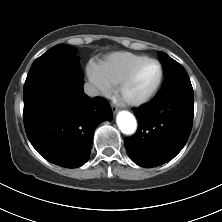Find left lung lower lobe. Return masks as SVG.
<instances>
[{
  "label": "left lung lower lobe",
  "mask_w": 222,
  "mask_h": 222,
  "mask_svg": "<svg viewBox=\"0 0 222 222\" xmlns=\"http://www.w3.org/2000/svg\"><path fill=\"white\" fill-rule=\"evenodd\" d=\"M133 112L139 128L124 140L131 160L145 168L162 165L173 159L189 138L194 113L192 85L162 88Z\"/></svg>",
  "instance_id": "obj_1"
}]
</instances>
